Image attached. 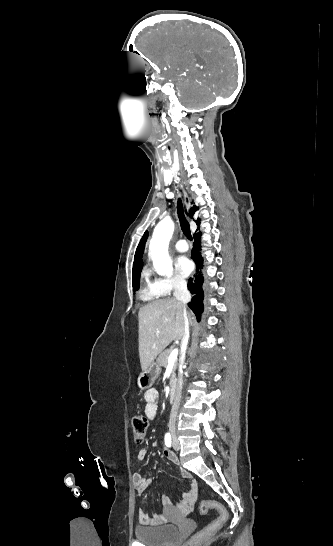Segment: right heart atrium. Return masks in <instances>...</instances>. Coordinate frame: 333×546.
Returning a JSON list of instances; mask_svg holds the SVG:
<instances>
[{"label": "right heart atrium", "mask_w": 333, "mask_h": 546, "mask_svg": "<svg viewBox=\"0 0 333 546\" xmlns=\"http://www.w3.org/2000/svg\"><path fill=\"white\" fill-rule=\"evenodd\" d=\"M154 289L159 296H168L186 287L185 280L178 275L155 279Z\"/></svg>", "instance_id": "obj_1"}]
</instances>
